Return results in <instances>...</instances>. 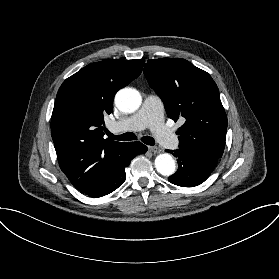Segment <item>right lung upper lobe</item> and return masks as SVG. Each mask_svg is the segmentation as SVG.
Here are the masks:
<instances>
[{
	"label": "right lung upper lobe",
	"instance_id": "1",
	"mask_svg": "<svg viewBox=\"0 0 279 279\" xmlns=\"http://www.w3.org/2000/svg\"><path fill=\"white\" fill-rule=\"evenodd\" d=\"M144 59L92 63L58 90L51 135L60 168L80 192L94 191L122 161L130 143L104 139V114L115 93L142 72Z\"/></svg>",
	"mask_w": 279,
	"mask_h": 279
}]
</instances>
